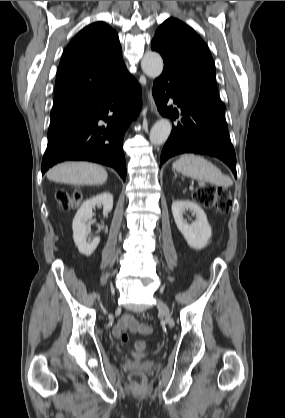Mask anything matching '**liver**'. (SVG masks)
<instances>
[{
  "instance_id": "1",
  "label": "liver",
  "mask_w": 285,
  "mask_h": 418,
  "mask_svg": "<svg viewBox=\"0 0 285 418\" xmlns=\"http://www.w3.org/2000/svg\"><path fill=\"white\" fill-rule=\"evenodd\" d=\"M47 179L71 185H101L107 181V171L93 163L65 162L50 169Z\"/></svg>"
}]
</instances>
